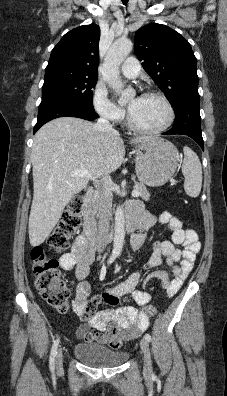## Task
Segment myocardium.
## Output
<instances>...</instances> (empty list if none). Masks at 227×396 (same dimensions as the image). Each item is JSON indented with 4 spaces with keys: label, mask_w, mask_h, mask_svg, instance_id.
Wrapping results in <instances>:
<instances>
[{
    "label": "myocardium",
    "mask_w": 227,
    "mask_h": 396,
    "mask_svg": "<svg viewBox=\"0 0 227 396\" xmlns=\"http://www.w3.org/2000/svg\"><path fill=\"white\" fill-rule=\"evenodd\" d=\"M142 96H154L159 98L165 105L166 109H167V119L165 121L164 124H162L161 126L157 127V128H153V129H149V128H143L141 126H139L133 119L130 110H128L127 113V123L129 125V127L134 130L135 132L141 133V134H147V135H155V134H160L164 131H166L168 128L171 127V125L173 124L174 120H175V110L174 107L172 105V103L170 102V100L168 99V97L166 95H164L163 93L159 92V91H155V90H148L145 91Z\"/></svg>",
    "instance_id": "1"
}]
</instances>
